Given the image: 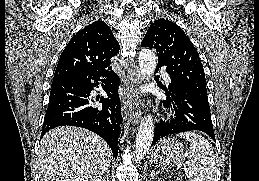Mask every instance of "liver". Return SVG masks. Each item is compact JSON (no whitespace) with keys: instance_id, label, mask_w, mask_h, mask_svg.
Here are the masks:
<instances>
[{"instance_id":"1","label":"liver","mask_w":259,"mask_h":181,"mask_svg":"<svg viewBox=\"0 0 259 181\" xmlns=\"http://www.w3.org/2000/svg\"><path fill=\"white\" fill-rule=\"evenodd\" d=\"M111 155L108 144L89 130L52 129L40 144L41 181H102L109 172Z\"/></svg>"}]
</instances>
